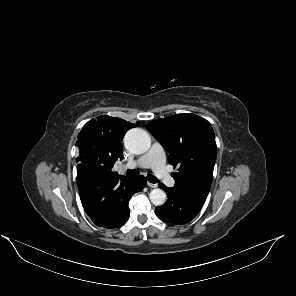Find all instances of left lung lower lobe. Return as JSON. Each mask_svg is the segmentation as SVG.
<instances>
[{
  "label": "left lung lower lobe",
  "instance_id": "0a47b994",
  "mask_svg": "<svg viewBox=\"0 0 296 296\" xmlns=\"http://www.w3.org/2000/svg\"><path fill=\"white\" fill-rule=\"evenodd\" d=\"M168 196L162 206L156 208V215L165 222L175 225L186 224L191 221L203 207L208 192L194 190H178L159 184Z\"/></svg>",
  "mask_w": 296,
  "mask_h": 296
}]
</instances>
